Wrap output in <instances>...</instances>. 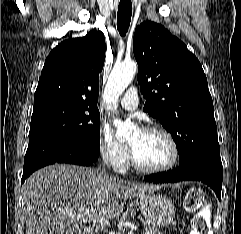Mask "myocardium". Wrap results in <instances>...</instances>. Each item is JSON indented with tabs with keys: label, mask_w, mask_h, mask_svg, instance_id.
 <instances>
[{
	"label": "myocardium",
	"mask_w": 241,
	"mask_h": 234,
	"mask_svg": "<svg viewBox=\"0 0 241 234\" xmlns=\"http://www.w3.org/2000/svg\"><path fill=\"white\" fill-rule=\"evenodd\" d=\"M141 131L147 132V133H160L161 135H163L171 146L172 159L165 166L148 167V166H145L142 163H140V161L136 157L133 147L131 145H129V160H130L131 165L136 170H138L142 173H146V174H160V173H165V172L172 170L178 163L179 155H180L178 144H177L176 140L174 139V137L172 136V134L161 126H148V127L143 128Z\"/></svg>",
	"instance_id": "obj_1"
}]
</instances>
